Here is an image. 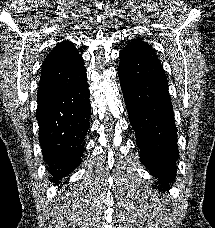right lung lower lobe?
Wrapping results in <instances>:
<instances>
[{
    "mask_svg": "<svg viewBox=\"0 0 215 228\" xmlns=\"http://www.w3.org/2000/svg\"><path fill=\"white\" fill-rule=\"evenodd\" d=\"M89 97L85 74L68 81L63 93L38 106L39 142L51 182L57 183L80 165L90 126Z\"/></svg>",
    "mask_w": 215,
    "mask_h": 228,
    "instance_id": "obj_1",
    "label": "right lung lower lobe"
}]
</instances>
